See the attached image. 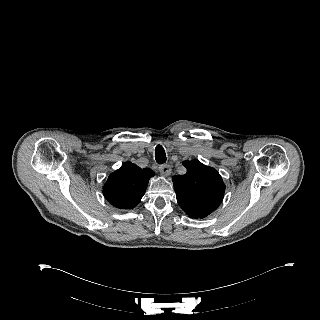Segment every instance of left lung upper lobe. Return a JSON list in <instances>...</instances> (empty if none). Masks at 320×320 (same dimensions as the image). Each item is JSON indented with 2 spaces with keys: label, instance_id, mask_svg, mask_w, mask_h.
Listing matches in <instances>:
<instances>
[{
  "label": "left lung upper lobe",
  "instance_id": "obj_1",
  "mask_svg": "<svg viewBox=\"0 0 320 320\" xmlns=\"http://www.w3.org/2000/svg\"><path fill=\"white\" fill-rule=\"evenodd\" d=\"M185 175L172 178L180 207L192 218H204L222 202L225 184L212 167L198 160L184 161Z\"/></svg>",
  "mask_w": 320,
  "mask_h": 320
}]
</instances>
